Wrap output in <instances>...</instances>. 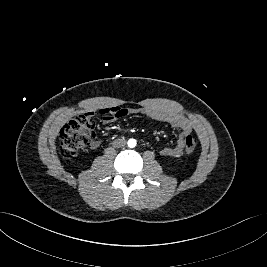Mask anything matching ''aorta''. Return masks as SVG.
I'll use <instances>...</instances> for the list:
<instances>
[{
	"label": "aorta",
	"mask_w": 267,
	"mask_h": 267,
	"mask_svg": "<svg viewBox=\"0 0 267 267\" xmlns=\"http://www.w3.org/2000/svg\"><path fill=\"white\" fill-rule=\"evenodd\" d=\"M127 144H128V147L134 148L136 146L137 142L135 139H129Z\"/></svg>",
	"instance_id": "1"
}]
</instances>
